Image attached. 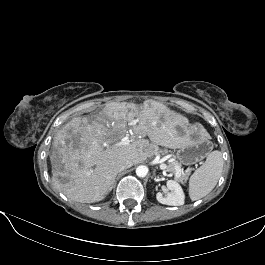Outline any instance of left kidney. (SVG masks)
<instances>
[{"instance_id": "5707ae66", "label": "left kidney", "mask_w": 265, "mask_h": 265, "mask_svg": "<svg viewBox=\"0 0 265 265\" xmlns=\"http://www.w3.org/2000/svg\"><path fill=\"white\" fill-rule=\"evenodd\" d=\"M167 188L170 192L163 196L161 192L156 194L158 202L169 206H181L185 202V195L180 184L174 180L167 181Z\"/></svg>"}]
</instances>
